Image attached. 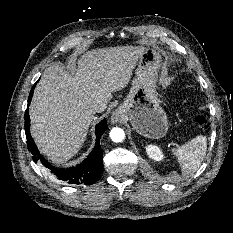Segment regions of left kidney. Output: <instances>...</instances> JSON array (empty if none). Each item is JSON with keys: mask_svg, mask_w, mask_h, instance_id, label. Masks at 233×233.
<instances>
[{"mask_svg": "<svg viewBox=\"0 0 233 233\" xmlns=\"http://www.w3.org/2000/svg\"><path fill=\"white\" fill-rule=\"evenodd\" d=\"M146 152H147V155L155 161H161L164 158L163 152L156 145L146 146Z\"/></svg>", "mask_w": 233, "mask_h": 233, "instance_id": "5707ae66", "label": "left kidney"}]
</instances>
